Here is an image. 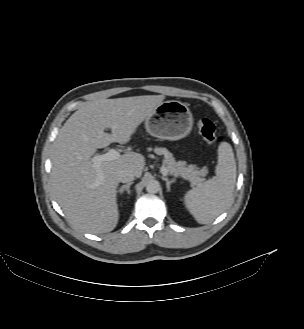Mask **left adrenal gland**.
<instances>
[{"mask_svg": "<svg viewBox=\"0 0 304 329\" xmlns=\"http://www.w3.org/2000/svg\"><path fill=\"white\" fill-rule=\"evenodd\" d=\"M162 180H164L166 182L167 191H170V186L172 183L175 182V180L174 179L169 180L168 178H166L164 176H162Z\"/></svg>", "mask_w": 304, "mask_h": 329, "instance_id": "left-adrenal-gland-1", "label": "left adrenal gland"}]
</instances>
